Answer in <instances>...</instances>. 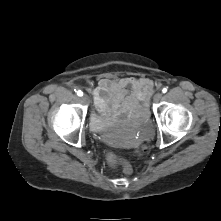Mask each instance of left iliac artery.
I'll list each match as a JSON object with an SVG mask.
<instances>
[{
  "label": "left iliac artery",
  "mask_w": 221,
  "mask_h": 221,
  "mask_svg": "<svg viewBox=\"0 0 221 221\" xmlns=\"http://www.w3.org/2000/svg\"><path fill=\"white\" fill-rule=\"evenodd\" d=\"M162 92H163V93H166V92H167V88H163V89H162Z\"/></svg>",
  "instance_id": "44dca946"
}]
</instances>
